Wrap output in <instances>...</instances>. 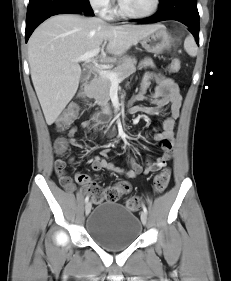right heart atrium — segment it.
<instances>
[{"label": "right heart atrium", "instance_id": "obj_1", "mask_svg": "<svg viewBox=\"0 0 231 281\" xmlns=\"http://www.w3.org/2000/svg\"><path fill=\"white\" fill-rule=\"evenodd\" d=\"M90 5L100 13L106 14L112 8L113 0H88Z\"/></svg>", "mask_w": 231, "mask_h": 281}]
</instances>
